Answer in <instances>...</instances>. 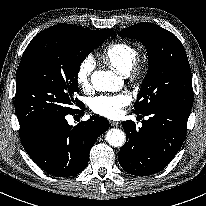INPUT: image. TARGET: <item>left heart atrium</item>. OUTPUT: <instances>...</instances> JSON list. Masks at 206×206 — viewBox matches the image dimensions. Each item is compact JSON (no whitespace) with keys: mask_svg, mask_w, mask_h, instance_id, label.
<instances>
[{"mask_svg":"<svg viewBox=\"0 0 206 206\" xmlns=\"http://www.w3.org/2000/svg\"><path fill=\"white\" fill-rule=\"evenodd\" d=\"M132 98L128 93L101 95L92 99L91 109L94 113L115 119L123 114V109L130 104Z\"/></svg>","mask_w":206,"mask_h":206,"instance_id":"left-heart-atrium-1","label":"left heart atrium"}]
</instances>
